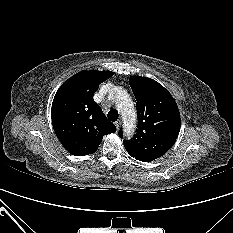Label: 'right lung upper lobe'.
<instances>
[{"label":"right lung upper lobe","instance_id":"cb5924a9","mask_svg":"<svg viewBox=\"0 0 233 233\" xmlns=\"http://www.w3.org/2000/svg\"><path fill=\"white\" fill-rule=\"evenodd\" d=\"M113 75L111 71L84 70L66 80L56 92L51 108L53 128L72 155L94 153L103 136L116 131L93 99L99 85Z\"/></svg>","mask_w":233,"mask_h":233}]
</instances>
